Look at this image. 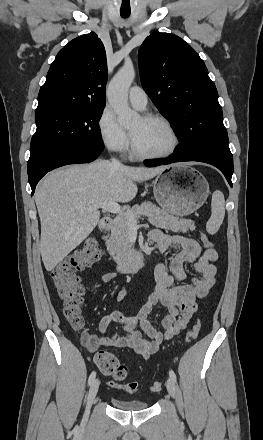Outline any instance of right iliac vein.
<instances>
[{"label": "right iliac vein", "mask_w": 263, "mask_h": 440, "mask_svg": "<svg viewBox=\"0 0 263 440\" xmlns=\"http://www.w3.org/2000/svg\"><path fill=\"white\" fill-rule=\"evenodd\" d=\"M100 381L98 379L94 380L93 383L90 386L88 396H87V407L86 412L83 417V425H86L89 418V411L91 408L92 403L94 402V399L97 395L98 389H99Z\"/></svg>", "instance_id": "right-iliac-vein-1"}]
</instances>
